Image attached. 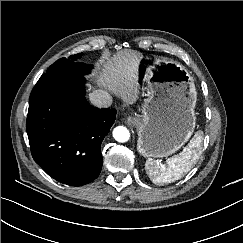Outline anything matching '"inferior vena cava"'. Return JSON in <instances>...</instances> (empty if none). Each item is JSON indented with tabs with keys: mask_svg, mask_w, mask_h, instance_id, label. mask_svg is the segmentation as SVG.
Segmentation results:
<instances>
[{
	"mask_svg": "<svg viewBox=\"0 0 243 243\" xmlns=\"http://www.w3.org/2000/svg\"><path fill=\"white\" fill-rule=\"evenodd\" d=\"M92 105L98 108H107L112 104V96L105 90L97 89L89 95Z\"/></svg>",
	"mask_w": 243,
	"mask_h": 243,
	"instance_id": "1",
	"label": "inferior vena cava"
}]
</instances>
